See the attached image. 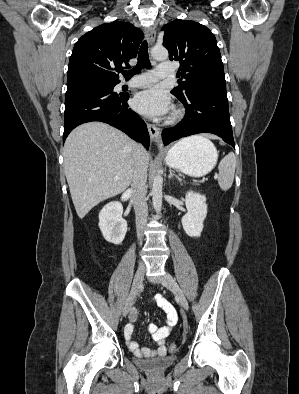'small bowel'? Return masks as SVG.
<instances>
[{
    "instance_id": "c3829d8e",
    "label": "small bowel",
    "mask_w": 299,
    "mask_h": 394,
    "mask_svg": "<svg viewBox=\"0 0 299 394\" xmlns=\"http://www.w3.org/2000/svg\"><path fill=\"white\" fill-rule=\"evenodd\" d=\"M152 301L160 307L166 315V324L163 326H158L156 324H148L145 331L151 335L153 341L157 344L155 349H148L140 347L139 344L133 340L134 323L137 321L138 313L135 308H133L129 314L130 323L125 327L124 335L126 342L130 350L137 357H157L165 354L166 352V339L170 335L171 331L177 324L178 315L174 306L160 293H156L152 297Z\"/></svg>"
}]
</instances>
